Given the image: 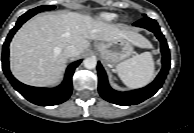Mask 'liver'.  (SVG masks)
Segmentation results:
<instances>
[{
  "instance_id": "1",
  "label": "liver",
  "mask_w": 194,
  "mask_h": 133,
  "mask_svg": "<svg viewBox=\"0 0 194 133\" xmlns=\"http://www.w3.org/2000/svg\"><path fill=\"white\" fill-rule=\"evenodd\" d=\"M126 39L140 48H151L142 35L115 24L74 12L37 15L26 22L10 43V68L22 83L37 87L57 84L67 63L64 50L75 46L80 55L89 40ZM77 55V56H78Z\"/></svg>"
}]
</instances>
